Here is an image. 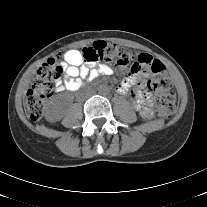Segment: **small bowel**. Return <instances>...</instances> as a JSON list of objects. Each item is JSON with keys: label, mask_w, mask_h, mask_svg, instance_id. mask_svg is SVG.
Here are the masks:
<instances>
[{"label": "small bowel", "mask_w": 207, "mask_h": 207, "mask_svg": "<svg viewBox=\"0 0 207 207\" xmlns=\"http://www.w3.org/2000/svg\"><path fill=\"white\" fill-rule=\"evenodd\" d=\"M64 59L62 73L66 79L64 81L61 79L58 80L56 85L57 91H76L82 86L84 79H95L99 76L113 74V69L107 64L94 66V64L85 62L82 53L76 49L67 51ZM128 70L129 73L117 87V92L120 94H128L130 101L140 116L143 119H149L153 114L152 102L150 95L143 94L145 87L144 75L142 71L132 72L130 69Z\"/></svg>", "instance_id": "small-bowel-1"}]
</instances>
